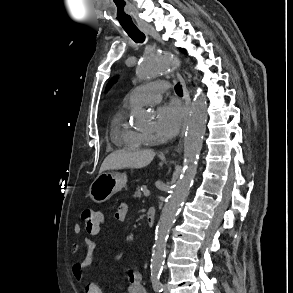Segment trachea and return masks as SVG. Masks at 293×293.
Wrapping results in <instances>:
<instances>
[{
	"label": "trachea",
	"instance_id": "obj_1",
	"mask_svg": "<svg viewBox=\"0 0 293 293\" xmlns=\"http://www.w3.org/2000/svg\"><path fill=\"white\" fill-rule=\"evenodd\" d=\"M126 33L136 42L142 43L145 40V35L139 29H125ZM176 93H181V86L175 87Z\"/></svg>",
	"mask_w": 293,
	"mask_h": 293
}]
</instances>
